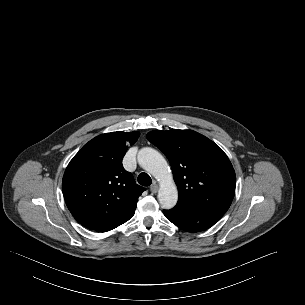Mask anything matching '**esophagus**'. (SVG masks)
<instances>
[{
  "instance_id": "34e87169",
  "label": "esophagus",
  "mask_w": 305,
  "mask_h": 305,
  "mask_svg": "<svg viewBox=\"0 0 305 305\" xmlns=\"http://www.w3.org/2000/svg\"><path fill=\"white\" fill-rule=\"evenodd\" d=\"M150 191L152 193H156L158 191V185L156 184V182H153V184L150 186Z\"/></svg>"
}]
</instances>
